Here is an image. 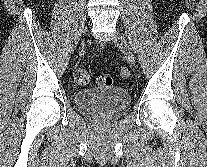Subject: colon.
Segmentation results:
<instances>
[{
  "mask_svg": "<svg viewBox=\"0 0 207 167\" xmlns=\"http://www.w3.org/2000/svg\"><path fill=\"white\" fill-rule=\"evenodd\" d=\"M120 74L123 78L127 79L131 76V72L128 68L121 69ZM74 79L80 85H86L90 81V75L84 68H78L74 72ZM97 84L102 87H111L114 85V78L108 74H102L97 77Z\"/></svg>",
  "mask_w": 207,
  "mask_h": 167,
  "instance_id": "1",
  "label": "colon"
}]
</instances>
